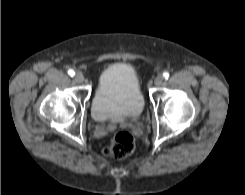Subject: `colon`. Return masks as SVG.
<instances>
[{"label":"colon","instance_id":"5ec220e1","mask_svg":"<svg viewBox=\"0 0 245 195\" xmlns=\"http://www.w3.org/2000/svg\"><path fill=\"white\" fill-rule=\"evenodd\" d=\"M135 149V138L127 131L116 132L111 142L106 146L102 153L108 157L125 158L129 156Z\"/></svg>","mask_w":245,"mask_h":195}]
</instances>
